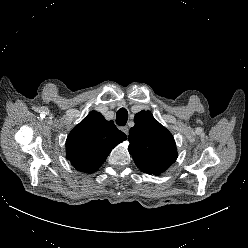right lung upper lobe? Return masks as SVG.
<instances>
[{
	"label": "right lung upper lobe",
	"instance_id": "right-lung-upper-lobe-1",
	"mask_svg": "<svg viewBox=\"0 0 248 248\" xmlns=\"http://www.w3.org/2000/svg\"><path fill=\"white\" fill-rule=\"evenodd\" d=\"M113 121L97 111L90 112L66 140L67 159L80 172L93 173L103 164L117 144L126 140Z\"/></svg>",
	"mask_w": 248,
	"mask_h": 248
}]
</instances>
